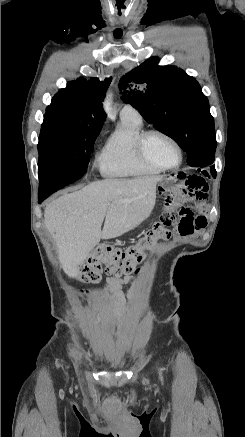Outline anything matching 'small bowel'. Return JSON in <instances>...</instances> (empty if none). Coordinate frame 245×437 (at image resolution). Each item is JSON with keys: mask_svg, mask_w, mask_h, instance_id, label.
I'll return each mask as SVG.
<instances>
[{"mask_svg": "<svg viewBox=\"0 0 245 437\" xmlns=\"http://www.w3.org/2000/svg\"><path fill=\"white\" fill-rule=\"evenodd\" d=\"M212 175L207 171H191L186 182L180 183L178 189L180 192H185L187 195L194 197L196 201L205 199L210 186L207 184L206 180ZM165 205L173 209L174 202L168 199ZM193 205L192 203H181L180 205V215H171L167 208L161 211L160 222L163 223L165 229H175L176 234L181 236H189L197 230H202L206 224L207 220L205 217L204 206H201L199 213L192 214ZM133 277L131 275L125 276L122 279H117L109 277L106 280V284L109 288L117 289L123 284L131 282ZM115 323H111V329H114Z\"/></svg>", "mask_w": 245, "mask_h": 437, "instance_id": "1", "label": "small bowel"}]
</instances>
